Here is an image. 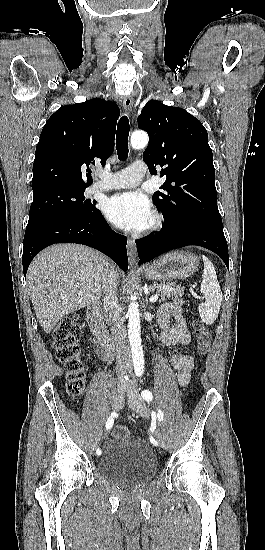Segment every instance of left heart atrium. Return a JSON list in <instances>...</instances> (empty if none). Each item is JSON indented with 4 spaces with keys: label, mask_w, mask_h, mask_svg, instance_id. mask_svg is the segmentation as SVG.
<instances>
[{
    "label": "left heart atrium",
    "mask_w": 265,
    "mask_h": 550,
    "mask_svg": "<svg viewBox=\"0 0 265 550\" xmlns=\"http://www.w3.org/2000/svg\"><path fill=\"white\" fill-rule=\"evenodd\" d=\"M105 213L116 226L130 231L145 229L152 217L148 199L138 192L113 196L105 205Z\"/></svg>",
    "instance_id": "obj_1"
}]
</instances>
